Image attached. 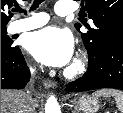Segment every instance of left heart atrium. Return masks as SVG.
<instances>
[{"mask_svg": "<svg viewBox=\"0 0 123 113\" xmlns=\"http://www.w3.org/2000/svg\"><path fill=\"white\" fill-rule=\"evenodd\" d=\"M29 53L47 66H66L74 52L71 33L57 27H47L30 34L26 41Z\"/></svg>", "mask_w": 123, "mask_h": 113, "instance_id": "obj_1", "label": "left heart atrium"}]
</instances>
